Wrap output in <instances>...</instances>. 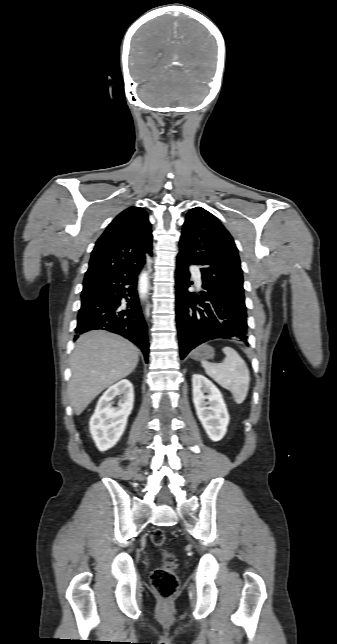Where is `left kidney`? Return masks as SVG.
<instances>
[{
    "mask_svg": "<svg viewBox=\"0 0 337 644\" xmlns=\"http://www.w3.org/2000/svg\"><path fill=\"white\" fill-rule=\"evenodd\" d=\"M192 386L193 403L202 426L212 441L221 440L227 432L230 420L221 392L200 374L192 376Z\"/></svg>",
    "mask_w": 337,
    "mask_h": 644,
    "instance_id": "left-kidney-1",
    "label": "left kidney"
}]
</instances>
